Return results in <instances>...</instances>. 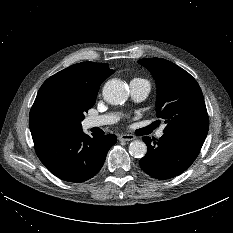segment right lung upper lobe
Returning <instances> with one entry per match:
<instances>
[{
	"label": "right lung upper lobe",
	"instance_id": "1",
	"mask_svg": "<svg viewBox=\"0 0 233 233\" xmlns=\"http://www.w3.org/2000/svg\"><path fill=\"white\" fill-rule=\"evenodd\" d=\"M114 70L108 64L82 62L59 71L48 78L40 87L30 111L29 126L32 137H38L53 131L82 128L75 121H61L51 107L52 93L55 89L64 88L80 95L95 98L101 83Z\"/></svg>",
	"mask_w": 233,
	"mask_h": 233
}]
</instances>
